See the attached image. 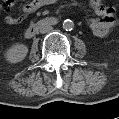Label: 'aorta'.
Returning <instances> with one entry per match:
<instances>
[{
  "label": "aorta",
  "mask_w": 119,
  "mask_h": 119,
  "mask_svg": "<svg viewBox=\"0 0 119 119\" xmlns=\"http://www.w3.org/2000/svg\"><path fill=\"white\" fill-rule=\"evenodd\" d=\"M73 27H74V23L71 20L69 19L64 20L63 29H65L66 31H70L73 29Z\"/></svg>",
  "instance_id": "aorta-1"
}]
</instances>
